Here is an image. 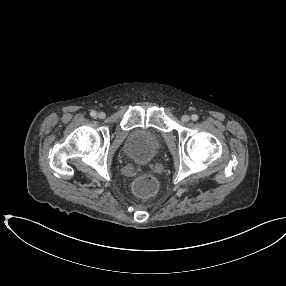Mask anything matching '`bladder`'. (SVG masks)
Returning a JSON list of instances; mask_svg holds the SVG:
<instances>
[{"mask_svg": "<svg viewBox=\"0 0 286 286\" xmlns=\"http://www.w3.org/2000/svg\"><path fill=\"white\" fill-rule=\"evenodd\" d=\"M160 147V136L144 129L134 130L124 144L127 154L139 164L151 162L159 152Z\"/></svg>", "mask_w": 286, "mask_h": 286, "instance_id": "bladder-1", "label": "bladder"}]
</instances>
